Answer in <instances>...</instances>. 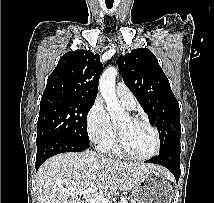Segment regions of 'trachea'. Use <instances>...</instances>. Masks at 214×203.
<instances>
[{
	"label": "trachea",
	"instance_id": "3493384b",
	"mask_svg": "<svg viewBox=\"0 0 214 203\" xmlns=\"http://www.w3.org/2000/svg\"><path fill=\"white\" fill-rule=\"evenodd\" d=\"M106 6H107L108 9H111L112 6H113V3H106Z\"/></svg>",
	"mask_w": 214,
	"mask_h": 203
}]
</instances>
